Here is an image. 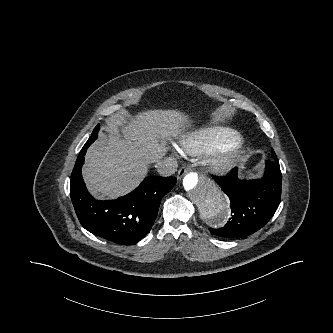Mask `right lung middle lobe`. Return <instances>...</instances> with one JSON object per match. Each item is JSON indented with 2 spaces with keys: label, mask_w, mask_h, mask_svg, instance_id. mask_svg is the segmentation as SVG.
Wrapping results in <instances>:
<instances>
[{
  "label": "right lung middle lobe",
  "mask_w": 333,
  "mask_h": 333,
  "mask_svg": "<svg viewBox=\"0 0 333 333\" xmlns=\"http://www.w3.org/2000/svg\"><path fill=\"white\" fill-rule=\"evenodd\" d=\"M98 130H99V126H97V127L94 129L92 135L97 136Z\"/></svg>",
  "instance_id": "right-lung-middle-lobe-1"
}]
</instances>
